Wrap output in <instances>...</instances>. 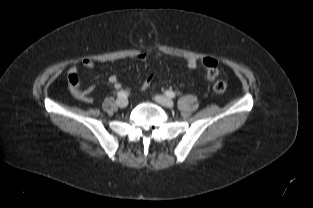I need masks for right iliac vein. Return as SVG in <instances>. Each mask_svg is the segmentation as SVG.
Here are the masks:
<instances>
[{
  "mask_svg": "<svg viewBox=\"0 0 313 208\" xmlns=\"http://www.w3.org/2000/svg\"><path fill=\"white\" fill-rule=\"evenodd\" d=\"M116 104L120 108H125L128 105V100L126 98H118Z\"/></svg>",
  "mask_w": 313,
  "mask_h": 208,
  "instance_id": "1",
  "label": "right iliac vein"
}]
</instances>
